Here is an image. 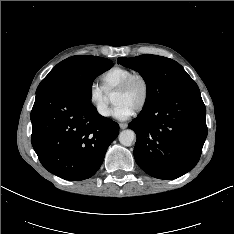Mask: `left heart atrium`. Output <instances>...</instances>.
Returning a JSON list of instances; mask_svg holds the SVG:
<instances>
[{
  "instance_id": "1",
  "label": "left heart atrium",
  "mask_w": 234,
  "mask_h": 234,
  "mask_svg": "<svg viewBox=\"0 0 234 234\" xmlns=\"http://www.w3.org/2000/svg\"><path fill=\"white\" fill-rule=\"evenodd\" d=\"M133 113L134 111L124 104L115 105L112 111L113 116L119 120L128 119Z\"/></svg>"
}]
</instances>
